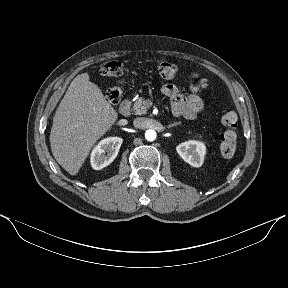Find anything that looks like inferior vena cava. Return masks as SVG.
<instances>
[{
  "label": "inferior vena cava",
  "instance_id": "1",
  "mask_svg": "<svg viewBox=\"0 0 288 288\" xmlns=\"http://www.w3.org/2000/svg\"><path fill=\"white\" fill-rule=\"evenodd\" d=\"M133 125L137 128H149V129H159L161 127V122L159 120H149L145 118H136L133 121Z\"/></svg>",
  "mask_w": 288,
  "mask_h": 288
}]
</instances>
